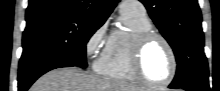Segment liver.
Returning <instances> with one entry per match:
<instances>
[{
    "label": "liver",
    "instance_id": "6515ba94",
    "mask_svg": "<svg viewBox=\"0 0 220 91\" xmlns=\"http://www.w3.org/2000/svg\"><path fill=\"white\" fill-rule=\"evenodd\" d=\"M29 91H141L125 81L95 76L78 68H58L41 76Z\"/></svg>",
    "mask_w": 220,
    "mask_h": 91
}]
</instances>
